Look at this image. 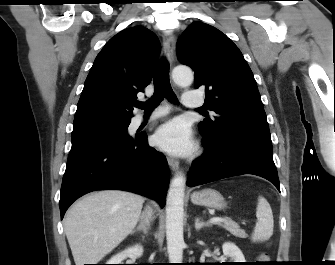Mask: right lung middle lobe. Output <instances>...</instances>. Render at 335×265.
Instances as JSON below:
<instances>
[{
	"label": "right lung middle lobe",
	"instance_id": "right-lung-middle-lobe-1",
	"mask_svg": "<svg viewBox=\"0 0 335 265\" xmlns=\"http://www.w3.org/2000/svg\"><path fill=\"white\" fill-rule=\"evenodd\" d=\"M130 122L91 123L74 126L72 145L96 140H123L129 138L127 129Z\"/></svg>",
	"mask_w": 335,
	"mask_h": 265
}]
</instances>
